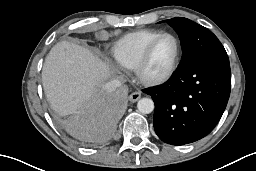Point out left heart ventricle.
I'll return each mask as SVG.
<instances>
[{
    "label": "left heart ventricle",
    "instance_id": "1",
    "mask_svg": "<svg viewBox=\"0 0 256 171\" xmlns=\"http://www.w3.org/2000/svg\"><path fill=\"white\" fill-rule=\"evenodd\" d=\"M176 45L171 37H164L157 42L145 66L144 74L156 78L165 74L172 65Z\"/></svg>",
    "mask_w": 256,
    "mask_h": 171
}]
</instances>
